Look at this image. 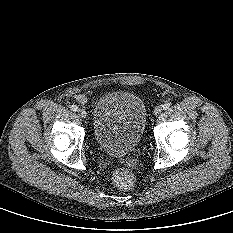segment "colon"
I'll list each match as a JSON object with an SVG mask.
<instances>
[{
    "instance_id": "1",
    "label": "colon",
    "mask_w": 233,
    "mask_h": 233,
    "mask_svg": "<svg viewBox=\"0 0 233 233\" xmlns=\"http://www.w3.org/2000/svg\"><path fill=\"white\" fill-rule=\"evenodd\" d=\"M113 182L118 189L128 190L134 184V176L130 170L118 168L113 174Z\"/></svg>"
}]
</instances>
